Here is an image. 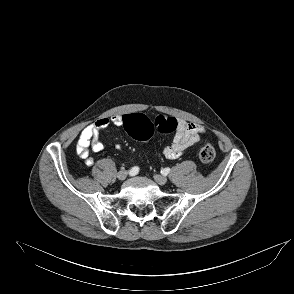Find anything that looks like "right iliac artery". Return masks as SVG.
Segmentation results:
<instances>
[{
  "label": "right iliac artery",
  "instance_id": "82829eb1",
  "mask_svg": "<svg viewBox=\"0 0 294 294\" xmlns=\"http://www.w3.org/2000/svg\"><path fill=\"white\" fill-rule=\"evenodd\" d=\"M138 172H139V168H138V167H133V168L130 170L129 174H130L131 176H134V175H136Z\"/></svg>",
  "mask_w": 294,
  "mask_h": 294
}]
</instances>
